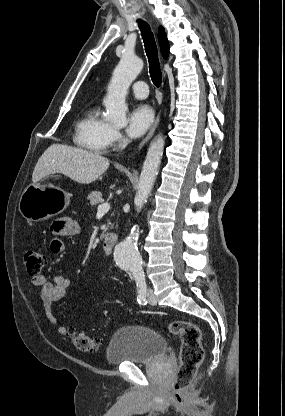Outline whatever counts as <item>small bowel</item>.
<instances>
[{
	"instance_id": "obj_1",
	"label": "small bowel",
	"mask_w": 285,
	"mask_h": 416,
	"mask_svg": "<svg viewBox=\"0 0 285 416\" xmlns=\"http://www.w3.org/2000/svg\"><path fill=\"white\" fill-rule=\"evenodd\" d=\"M80 231L79 224L71 218H60L55 220L51 225L53 239L50 242V251L58 255L65 250V244L62 237H70L78 234ZM32 283L38 288V295L42 301L44 310L50 323L61 335H67L69 330L60 325L57 318L52 313V304L55 301L63 299L70 288L71 280L67 275L57 273L51 280L44 275H38L32 278Z\"/></svg>"
}]
</instances>
